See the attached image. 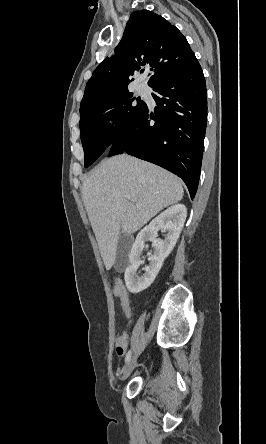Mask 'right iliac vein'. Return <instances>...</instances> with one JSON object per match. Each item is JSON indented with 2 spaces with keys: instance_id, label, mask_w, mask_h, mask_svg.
I'll return each instance as SVG.
<instances>
[{
  "instance_id": "right-iliac-vein-1",
  "label": "right iliac vein",
  "mask_w": 266,
  "mask_h": 444,
  "mask_svg": "<svg viewBox=\"0 0 266 444\" xmlns=\"http://www.w3.org/2000/svg\"><path fill=\"white\" fill-rule=\"evenodd\" d=\"M136 361L137 355H134L130 358L123 371V380H126L130 376L135 367Z\"/></svg>"
}]
</instances>
